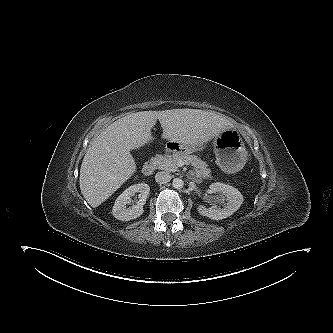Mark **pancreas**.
I'll return each mask as SVG.
<instances>
[{
    "mask_svg": "<svg viewBox=\"0 0 333 333\" xmlns=\"http://www.w3.org/2000/svg\"><path fill=\"white\" fill-rule=\"evenodd\" d=\"M182 161L187 164H191L195 174L199 178L211 179V170L206 167V163L197 157L196 155L190 154H173L168 156L162 162L160 167L165 170L175 171L178 168V162Z\"/></svg>",
    "mask_w": 333,
    "mask_h": 333,
    "instance_id": "1",
    "label": "pancreas"
}]
</instances>
